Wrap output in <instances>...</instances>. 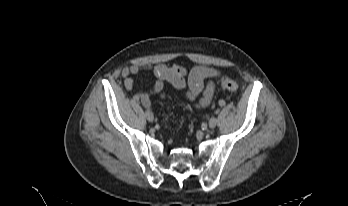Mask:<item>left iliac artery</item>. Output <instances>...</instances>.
Masks as SVG:
<instances>
[{
  "label": "left iliac artery",
  "instance_id": "left-iliac-artery-1",
  "mask_svg": "<svg viewBox=\"0 0 348 206\" xmlns=\"http://www.w3.org/2000/svg\"><path fill=\"white\" fill-rule=\"evenodd\" d=\"M218 105L220 107H223L225 105V102L223 100H218Z\"/></svg>",
  "mask_w": 348,
  "mask_h": 206
}]
</instances>
